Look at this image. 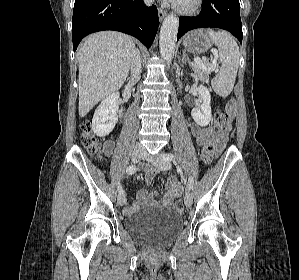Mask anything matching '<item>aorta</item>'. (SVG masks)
I'll return each instance as SVG.
<instances>
[{
	"label": "aorta",
	"instance_id": "1",
	"mask_svg": "<svg viewBox=\"0 0 299 280\" xmlns=\"http://www.w3.org/2000/svg\"><path fill=\"white\" fill-rule=\"evenodd\" d=\"M179 19L175 15H168L163 21L159 35L160 55L168 64L171 63L174 56Z\"/></svg>",
	"mask_w": 299,
	"mask_h": 280
}]
</instances>
